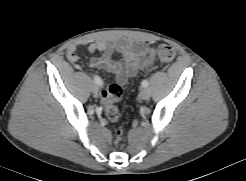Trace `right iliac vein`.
<instances>
[{"mask_svg": "<svg viewBox=\"0 0 246 181\" xmlns=\"http://www.w3.org/2000/svg\"><path fill=\"white\" fill-rule=\"evenodd\" d=\"M92 90V93L94 94V96H98V91H99V88L96 84H94L91 88Z\"/></svg>", "mask_w": 246, "mask_h": 181, "instance_id": "obj_1", "label": "right iliac vein"}]
</instances>
